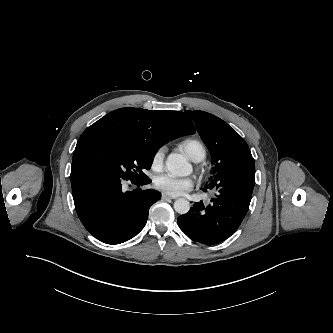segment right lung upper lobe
Masks as SVG:
<instances>
[{
    "label": "right lung upper lobe",
    "instance_id": "cb5924a9",
    "mask_svg": "<svg viewBox=\"0 0 333 333\" xmlns=\"http://www.w3.org/2000/svg\"><path fill=\"white\" fill-rule=\"evenodd\" d=\"M195 132L191 119L183 112L120 108L88 127L78 141L108 136L133 140L159 149L169 141Z\"/></svg>",
    "mask_w": 333,
    "mask_h": 333
}]
</instances>
